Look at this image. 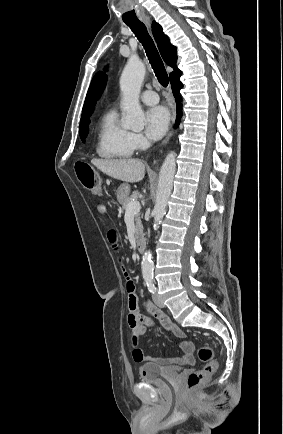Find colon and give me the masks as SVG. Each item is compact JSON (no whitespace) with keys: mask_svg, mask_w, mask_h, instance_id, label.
Returning <instances> with one entry per match:
<instances>
[{"mask_svg":"<svg viewBox=\"0 0 283 434\" xmlns=\"http://www.w3.org/2000/svg\"><path fill=\"white\" fill-rule=\"evenodd\" d=\"M75 171L79 182L89 191L101 194L102 183L95 170L86 163H77ZM199 359L205 362L199 371L190 373L187 377V387L195 390L204 385L217 371L218 363L213 358V350L210 347H201L198 352Z\"/></svg>","mask_w":283,"mask_h":434,"instance_id":"colon-1","label":"colon"}]
</instances>
